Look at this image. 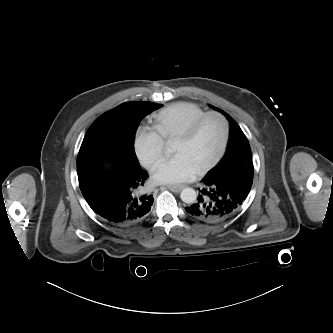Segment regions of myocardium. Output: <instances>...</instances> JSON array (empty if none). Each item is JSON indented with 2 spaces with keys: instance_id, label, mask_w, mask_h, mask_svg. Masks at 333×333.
<instances>
[{
  "instance_id": "1",
  "label": "myocardium",
  "mask_w": 333,
  "mask_h": 333,
  "mask_svg": "<svg viewBox=\"0 0 333 333\" xmlns=\"http://www.w3.org/2000/svg\"><path fill=\"white\" fill-rule=\"evenodd\" d=\"M209 117H217L221 120V122L223 124V128H224L223 139H222V143H221L218 153L215 155V157L211 161H209L203 167L198 169V174H203V173L209 171L210 169H212L221 160V158L225 154L228 143H229L230 132H231L230 122H229L228 118L219 111L206 112L203 115H201L200 117H198L196 120H194L183 132H181L176 137V139H179V140H184V141L190 140L196 134L197 130L202 125V123Z\"/></svg>"
}]
</instances>
